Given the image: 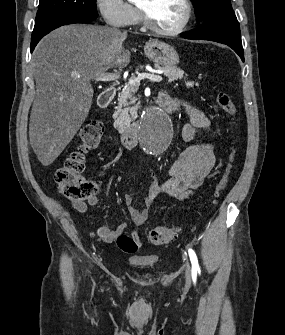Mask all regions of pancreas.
<instances>
[{
	"instance_id": "obj_1",
	"label": "pancreas",
	"mask_w": 285,
	"mask_h": 335,
	"mask_svg": "<svg viewBox=\"0 0 285 335\" xmlns=\"http://www.w3.org/2000/svg\"><path fill=\"white\" fill-rule=\"evenodd\" d=\"M142 68V66H141ZM156 70H163L165 74H167V78H169V82H174V80H186L187 74L180 70V68H167V66H154ZM187 88H193L195 86L194 82H186ZM199 86V84H196ZM130 100V102H128ZM136 98L131 96V86H127L124 92H121V96H119L118 106L114 107V115L111 117V120L116 125H132L133 122L137 121V116L139 114L138 105H131L135 102Z\"/></svg>"
}]
</instances>
